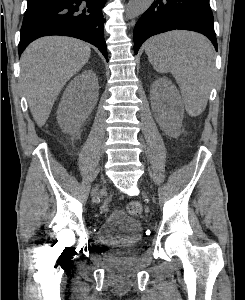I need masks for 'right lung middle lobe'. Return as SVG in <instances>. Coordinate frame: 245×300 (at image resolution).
<instances>
[{"label": "right lung middle lobe", "instance_id": "1", "mask_svg": "<svg viewBox=\"0 0 245 300\" xmlns=\"http://www.w3.org/2000/svg\"><path fill=\"white\" fill-rule=\"evenodd\" d=\"M40 2H41V1H40ZM35 3H38V2H35ZM35 3H33V2H28V6L33 5V4H35Z\"/></svg>", "mask_w": 245, "mask_h": 300}]
</instances>
